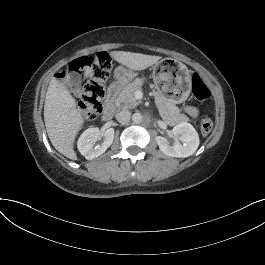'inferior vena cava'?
Here are the masks:
<instances>
[{
  "mask_svg": "<svg viewBox=\"0 0 265 265\" xmlns=\"http://www.w3.org/2000/svg\"><path fill=\"white\" fill-rule=\"evenodd\" d=\"M115 117H116L118 122L125 124V123H128L130 121L131 112L128 110H123V111L116 113Z\"/></svg>",
  "mask_w": 265,
  "mask_h": 265,
  "instance_id": "inferior-vena-cava-1",
  "label": "inferior vena cava"
}]
</instances>
